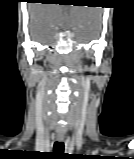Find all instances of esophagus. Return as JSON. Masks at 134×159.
I'll return each mask as SVG.
<instances>
[{"instance_id": "esophagus-1", "label": "esophagus", "mask_w": 134, "mask_h": 159, "mask_svg": "<svg viewBox=\"0 0 134 159\" xmlns=\"http://www.w3.org/2000/svg\"><path fill=\"white\" fill-rule=\"evenodd\" d=\"M57 140H58L59 142L64 141V135H63V134H57Z\"/></svg>"}]
</instances>
